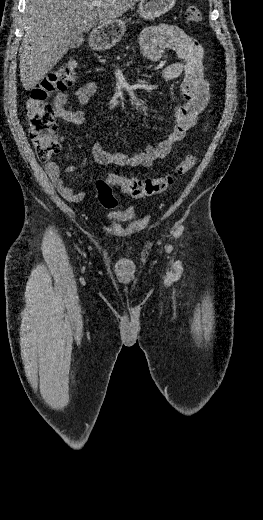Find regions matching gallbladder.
<instances>
[{"label":"gallbladder","instance_id":"obj_1","mask_svg":"<svg viewBox=\"0 0 263 520\" xmlns=\"http://www.w3.org/2000/svg\"><path fill=\"white\" fill-rule=\"evenodd\" d=\"M68 40L70 42L69 47L75 49L80 47L83 42V35L79 34L75 29H70L68 34Z\"/></svg>","mask_w":263,"mask_h":520}]
</instances>
